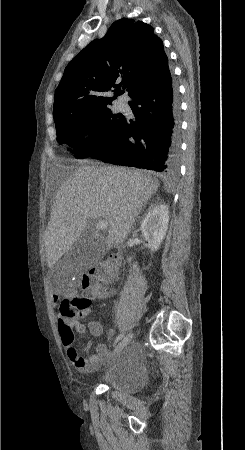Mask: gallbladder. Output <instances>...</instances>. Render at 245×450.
I'll use <instances>...</instances> for the list:
<instances>
[{"label":"gallbladder","instance_id":"obj_1","mask_svg":"<svg viewBox=\"0 0 245 450\" xmlns=\"http://www.w3.org/2000/svg\"><path fill=\"white\" fill-rule=\"evenodd\" d=\"M108 251L102 241L91 239L84 234L64 256L62 261L74 272H81L84 268L100 260Z\"/></svg>","mask_w":245,"mask_h":450}]
</instances>
